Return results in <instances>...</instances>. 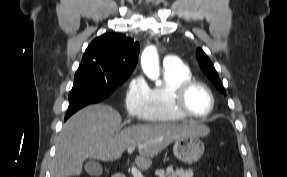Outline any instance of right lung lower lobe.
<instances>
[{"label": "right lung lower lobe", "mask_w": 287, "mask_h": 177, "mask_svg": "<svg viewBox=\"0 0 287 177\" xmlns=\"http://www.w3.org/2000/svg\"><path fill=\"white\" fill-rule=\"evenodd\" d=\"M103 99L105 98L97 95H83L70 99L69 109L65 116V120L86 105L101 102Z\"/></svg>", "instance_id": "1"}]
</instances>
